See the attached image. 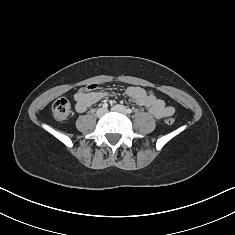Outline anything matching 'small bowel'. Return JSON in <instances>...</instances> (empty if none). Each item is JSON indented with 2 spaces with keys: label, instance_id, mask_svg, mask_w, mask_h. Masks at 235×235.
Returning <instances> with one entry per match:
<instances>
[{
  "label": "small bowel",
  "instance_id": "1",
  "mask_svg": "<svg viewBox=\"0 0 235 235\" xmlns=\"http://www.w3.org/2000/svg\"><path fill=\"white\" fill-rule=\"evenodd\" d=\"M127 96L138 106L145 107L148 111L158 119L167 118L175 113L174 107L166 105V103L158 99L152 94H148L140 87L131 86L126 90ZM106 91H84L80 90L75 93L74 100L76 102L75 109L79 113L85 112L89 107L108 96Z\"/></svg>",
  "mask_w": 235,
  "mask_h": 235
}]
</instances>
